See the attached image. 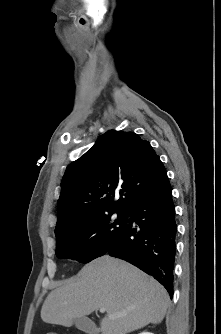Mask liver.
I'll list each match as a JSON object with an SVG mask.
<instances>
[{"label":"liver","instance_id":"6515ba94","mask_svg":"<svg viewBox=\"0 0 221 334\" xmlns=\"http://www.w3.org/2000/svg\"><path fill=\"white\" fill-rule=\"evenodd\" d=\"M168 304L167 291L155 279L124 260L104 255L48 294L41 319L69 327L74 319L105 308L102 334H127L161 323Z\"/></svg>","mask_w":221,"mask_h":334}]
</instances>
